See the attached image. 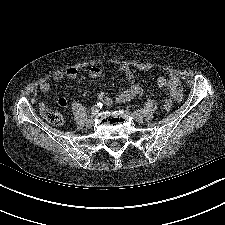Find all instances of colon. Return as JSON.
<instances>
[{"label": "colon", "mask_w": 225, "mask_h": 225, "mask_svg": "<svg viewBox=\"0 0 225 225\" xmlns=\"http://www.w3.org/2000/svg\"><path fill=\"white\" fill-rule=\"evenodd\" d=\"M172 105V100L169 98L166 99L163 102V110L165 112H169L172 108ZM44 115L46 120L52 125L60 126L64 123V116L58 111L48 109L45 111Z\"/></svg>", "instance_id": "5ec220e1"}]
</instances>
